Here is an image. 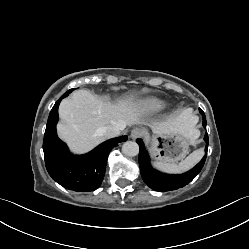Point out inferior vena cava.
<instances>
[{
	"label": "inferior vena cava",
	"instance_id": "1",
	"mask_svg": "<svg viewBox=\"0 0 249 249\" xmlns=\"http://www.w3.org/2000/svg\"><path fill=\"white\" fill-rule=\"evenodd\" d=\"M126 125L124 123H118L115 125H110L101 129V133L106 138L117 137Z\"/></svg>",
	"mask_w": 249,
	"mask_h": 249
}]
</instances>
